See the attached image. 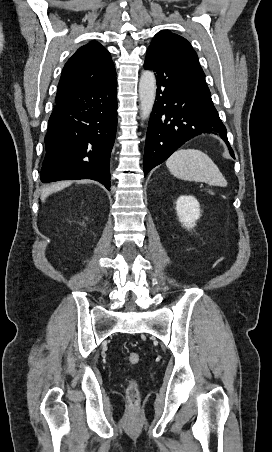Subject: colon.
<instances>
[{"mask_svg": "<svg viewBox=\"0 0 272 452\" xmlns=\"http://www.w3.org/2000/svg\"><path fill=\"white\" fill-rule=\"evenodd\" d=\"M141 361V355L138 352H131L127 356V362L130 365H137ZM126 395L132 405H137L140 399L138 383L131 380L126 389Z\"/></svg>", "mask_w": 272, "mask_h": 452, "instance_id": "1", "label": "colon"}]
</instances>
